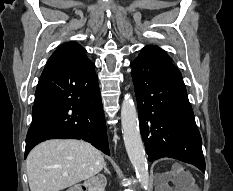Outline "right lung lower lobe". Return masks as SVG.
Listing matches in <instances>:
<instances>
[{
  "label": "right lung lower lobe",
  "instance_id": "right-lung-lower-lobe-1",
  "mask_svg": "<svg viewBox=\"0 0 233 191\" xmlns=\"http://www.w3.org/2000/svg\"><path fill=\"white\" fill-rule=\"evenodd\" d=\"M94 63L53 64L44 68L35 93L25 158L42 141L82 139L110 155Z\"/></svg>",
  "mask_w": 233,
  "mask_h": 191
}]
</instances>
